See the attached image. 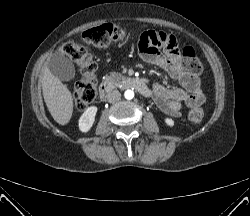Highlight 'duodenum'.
<instances>
[{"mask_svg": "<svg viewBox=\"0 0 250 216\" xmlns=\"http://www.w3.org/2000/svg\"><path fill=\"white\" fill-rule=\"evenodd\" d=\"M119 84L124 88L135 89L144 96H149L151 94V91L147 86V84L139 78H125L121 80ZM113 89L114 85L112 83L108 82L102 83L99 87L100 99L106 100Z\"/></svg>", "mask_w": 250, "mask_h": 216, "instance_id": "1", "label": "duodenum"}]
</instances>
